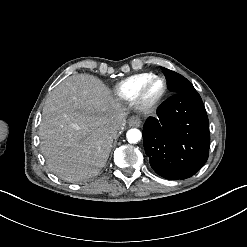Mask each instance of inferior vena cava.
<instances>
[{
	"label": "inferior vena cava",
	"instance_id": "602c4592",
	"mask_svg": "<svg viewBox=\"0 0 247 247\" xmlns=\"http://www.w3.org/2000/svg\"><path fill=\"white\" fill-rule=\"evenodd\" d=\"M121 130L120 126L114 125V126H109L108 131L109 133L114 137L118 134V132Z\"/></svg>",
	"mask_w": 247,
	"mask_h": 247
}]
</instances>
